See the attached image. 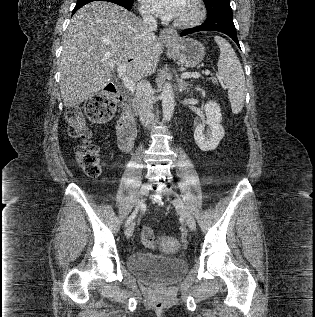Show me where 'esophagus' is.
<instances>
[{
	"mask_svg": "<svg viewBox=\"0 0 315 317\" xmlns=\"http://www.w3.org/2000/svg\"><path fill=\"white\" fill-rule=\"evenodd\" d=\"M176 38H177V32L172 28H166L160 32V39L164 43H169L170 41Z\"/></svg>",
	"mask_w": 315,
	"mask_h": 317,
	"instance_id": "1",
	"label": "esophagus"
}]
</instances>
